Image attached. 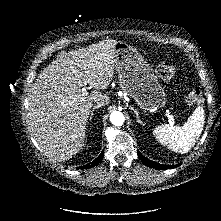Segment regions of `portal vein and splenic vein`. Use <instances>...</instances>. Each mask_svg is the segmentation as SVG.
Returning <instances> with one entry per match:
<instances>
[{"label":"portal vein and splenic vein","instance_id":"18ae733b","mask_svg":"<svg viewBox=\"0 0 221 221\" xmlns=\"http://www.w3.org/2000/svg\"><path fill=\"white\" fill-rule=\"evenodd\" d=\"M81 91H82L83 93H86V92H87V88H82ZM167 117H168L169 123H170L171 125H174V124H175V119H174V117H173L172 115H170V114H167Z\"/></svg>","mask_w":221,"mask_h":221}]
</instances>
